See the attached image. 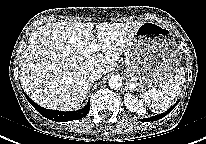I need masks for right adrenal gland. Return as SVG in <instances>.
Listing matches in <instances>:
<instances>
[{
    "label": "right adrenal gland",
    "mask_w": 206,
    "mask_h": 144,
    "mask_svg": "<svg viewBox=\"0 0 206 144\" xmlns=\"http://www.w3.org/2000/svg\"><path fill=\"white\" fill-rule=\"evenodd\" d=\"M92 84L89 85V89L91 88Z\"/></svg>",
    "instance_id": "2a0ac1e0"
}]
</instances>
